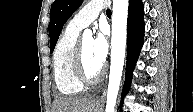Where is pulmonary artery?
<instances>
[{"instance_id":"1","label":"pulmonary artery","mask_w":193,"mask_h":112,"mask_svg":"<svg viewBox=\"0 0 193 112\" xmlns=\"http://www.w3.org/2000/svg\"><path fill=\"white\" fill-rule=\"evenodd\" d=\"M107 6L108 3L104 0L90 1L74 15L69 25L77 30H82L89 26L98 17L100 11Z\"/></svg>"}]
</instances>
